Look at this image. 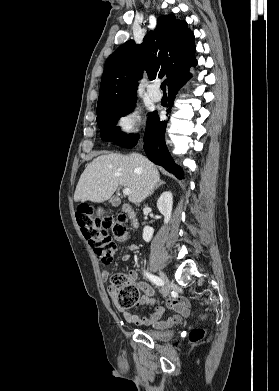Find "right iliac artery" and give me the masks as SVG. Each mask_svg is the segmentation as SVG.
<instances>
[{"mask_svg":"<svg viewBox=\"0 0 279 391\" xmlns=\"http://www.w3.org/2000/svg\"><path fill=\"white\" fill-rule=\"evenodd\" d=\"M145 275H146V277H147L150 281H152L154 284H156V285H158V286H162V285L164 284L163 281H162V279L159 278V277H157V276H155V275H152V274H150V273H148V272H145Z\"/></svg>","mask_w":279,"mask_h":391,"instance_id":"obj_1","label":"right iliac artery"}]
</instances>
